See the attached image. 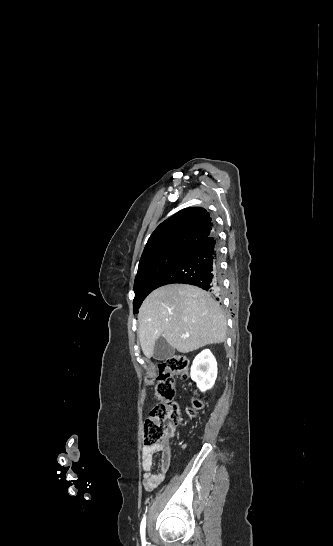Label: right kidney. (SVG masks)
Masks as SVG:
<instances>
[{
	"instance_id": "ca27d5eb",
	"label": "right kidney",
	"mask_w": 333,
	"mask_h": 546,
	"mask_svg": "<svg viewBox=\"0 0 333 546\" xmlns=\"http://www.w3.org/2000/svg\"><path fill=\"white\" fill-rule=\"evenodd\" d=\"M217 377V362L210 350L199 353L191 367V378L197 383L201 391L213 387Z\"/></svg>"
}]
</instances>
